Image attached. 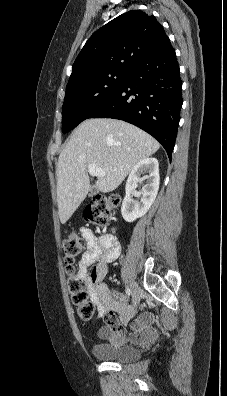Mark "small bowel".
Masks as SVG:
<instances>
[{"label": "small bowel", "instance_id": "small-bowel-1", "mask_svg": "<svg viewBox=\"0 0 227 396\" xmlns=\"http://www.w3.org/2000/svg\"><path fill=\"white\" fill-rule=\"evenodd\" d=\"M81 234L86 241L87 249L79 261L77 277L86 285L90 300L98 314H105L106 324L100 328L99 336L115 344L126 341L147 344L153 341L157 331L152 327V314L142 313L134 319L136 310L129 305L128 298L119 291H111L103 283L108 265L120 255L118 240L108 235L96 236L88 228H83ZM132 320V329L127 332L125 327Z\"/></svg>", "mask_w": 227, "mask_h": 396}]
</instances>
